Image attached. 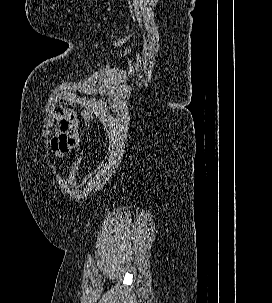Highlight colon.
Wrapping results in <instances>:
<instances>
[{
	"label": "colon",
	"mask_w": 272,
	"mask_h": 303,
	"mask_svg": "<svg viewBox=\"0 0 272 303\" xmlns=\"http://www.w3.org/2000/svg\"><path fill=\"white\" fill-rule=\"evenodd\" d=\"M82 117H83V120L86 124H89L90 122L93 121V115L89 111H86V110L83 111ZM82 162H83V156L79 157L77 159V161L71 167L70 172H69V182H70V184H74Z\"/></svg>",
	"instance_id": "obj_1"
}]
</instances>
